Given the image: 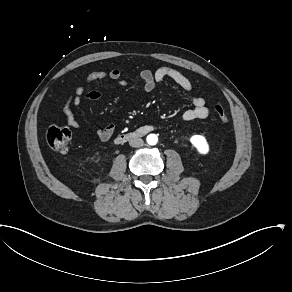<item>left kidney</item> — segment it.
<instances>
[{
  "label": "left kidney",
  "instance_id": "left-kidney-1",
  "mask_svg": "<svg viewBox=\"0 0 292 292\" xmlns=\"http://www.w3.org/2000/svg\"><path fill=\"white\" fill-rule=\"evenodd\" d=\"M191 145L201 156H207L210 152V145L203 135H193L189 139Z\"/></svg>",
  "mask_w": 292,
  "mask_h": 292
}]
</instances>
